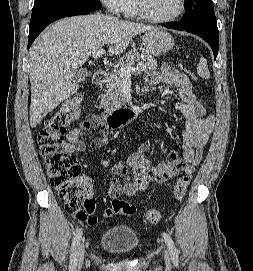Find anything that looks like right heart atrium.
<instances>
[{
    "label": "right heart atrium",
    "instance_id": "1",
    "mask_svg": "<svg viewBox=\"0 0 253 271\" xmlns=\"http://www.w3.org/2000/svg\"><path fill=\"white\" fill-rule=\"evenodd\" d=\"M101 1L105 5H107L111 10L115 12H120L123 10L127 0H101Z\"/></svg>",
    "mask_w": 253,
    "mask_h": 271
}]
</instances>
